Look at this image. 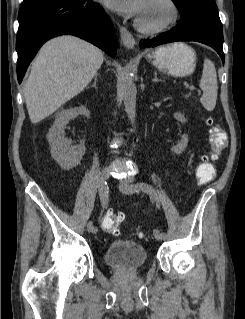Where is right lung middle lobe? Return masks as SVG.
<instances>
[{
	"label": "right lung middle lobe",
	"mask_w": 245,
	"mask_h": 319,
	"mask_svg": "<svg viewBox=\"0 0 245 319\" xmlns=\"http://www.w3.org/2000/svg\"><path fill=\"white\" fill-rule=\"evenodd\" d=\"M35 1H39V0H24L23 3H32V2H35Z\"/></svg>",
	"instance_id": "1"
}]
</instances>
